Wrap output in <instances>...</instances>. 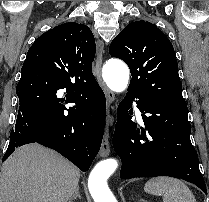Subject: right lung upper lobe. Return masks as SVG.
Segmentation results:
<instances>
[{
    "instance_id": "cb5924a9",
    "label": "right lung upper lobe",
    "mask_w": 209,
    "mask_h": 202,
    "mask_svg": "<svg viewBox=\"0 0 209 202\" xmlns=\"http://www.w3.org/2000/svg\"><path fill=\"white\" fill-rule=\"evenodd\" d=\"M95 52V39L86 25L64 23L35 40L21 76L46 73L73 88L83 89L97 82L92 73Z\"/></svg>"
}]
</instances>
